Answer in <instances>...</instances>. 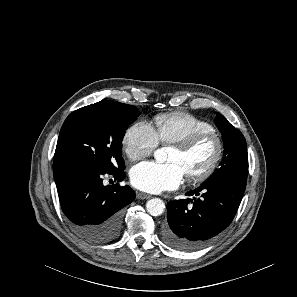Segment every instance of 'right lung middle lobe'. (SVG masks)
I'll use <instances>...</instances> for the list:
<instances>
[{"mask_svg":"<svg viewBox=\"0 0 297 297\" xmlns=\"http://www.w3.org/2000/svg\"><path fill=\"white\" fill-rule=\"evenodd\" d=\"M139 114L135 106L116 101L72 112L61 128L54 163L82 162L106 173L124 170L121 142Z\"/></svg>","mask_w":297,"mask_h":297,"instance_id":"dd1d6c3e","label":"right lung middle lobe"}]
</instances>
